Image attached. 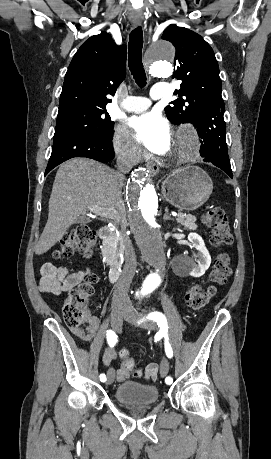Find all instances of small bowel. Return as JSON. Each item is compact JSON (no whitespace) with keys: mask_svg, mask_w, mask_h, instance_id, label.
Here are the masks:
<instances>
[{"mask_svg":"<svg viewBox=\"0 0 271 459\" xmlns=\"http://www.w3.org/2000/svg\"><path fill=\"white\" fill-rule=\"evenodd\" d=\"M89 269L78 272H70L66 267L55 266L53 264H45L41 268L40 290L45 293H50L56 296L71 290L82 282ZM100 321L96 316H88L82 325L72 327V333L80 340L88 343L97 341ZM116 354L112 349H106L103 352V363L106 367H110L114 379L121 382L128 378V373L123 369H114L111 367L115 360ZM158 372V365L150 363L145 368V377L154 379Z\"/></svg>","mask_w":271,"mask_h":459,"instance_id":"1","label":"small bowel"}]
</instances>
